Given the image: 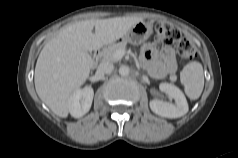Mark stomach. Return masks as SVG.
<instances>
[{
    "label": "stomach",
    "mask_w": 238,
    "mask_h": 158,
    "mask_svg": "<svg viewBox=\"0 0 238 158\" xmlns=\"http://www.w3.org/2000/svg\"><path fill=\"white\" fill-rule=\"evenodd\" d=\"M152 33V24L149 22L140 21L132 26L120 40L138 45L146 41Z\"/></svg>",
    "instance_id": "obj_1"
}]
</instances>
